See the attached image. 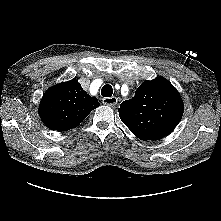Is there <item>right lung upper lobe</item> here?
Listing matches in <instances>:
<instances>
[{
	"mask_svg": "<svg viewBox=\"0 0 221 221\" xmlns=\"http://www.w3.org/2000/svg\"><path fill=\"white\" fill-rule=\"evenodd\" d=\"M99 105L96 97L89 96L80 83L72 79L45 92L39 115L51 130L66 131L78 126Z\"/></svg>",
	"mask_w": 221,
	"mask_h": 221,
	"instance_id": "cb5924a9",
	"label": "right lung upper lobe"
}]
</instances>
